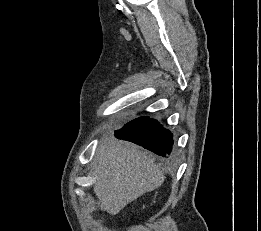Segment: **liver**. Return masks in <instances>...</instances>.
<instances>
[{
	"instance_id": "6515ba94",
	"label": "liver",
	"mask_w": 261,
	"mask_h": 231,
	"mask_svg": "<svg viewBox=\"0 0 261 231\" xmlns=\"http://www.w3.org/2000/svg\"><path fill=\"white\" fill-rule=\"evenodd\" d=\"M94 193L98 207L116 215L128 203L162 185L165 175L154 159L139 148L110 138L100 143L94 157Z\"/></svg>"
}]
</instances>
